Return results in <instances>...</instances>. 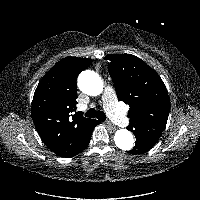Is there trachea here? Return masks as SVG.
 <instances>
[{
    "label": "trachea",
    "mask_w": 200,
    "mask_h": 200,
    "mask_svg": "<svg viewBox=\"0 0 200 200\" xmlns=\"http://www.w3.org/2000/svg\"><path fill=\"white\" fill-rule=\"evenodd\" d=\"M85 116L89 117V118H97L100 121H105L106 120V115L104 114V112L100 111V110H95L94 108L89 109L85 113Z\"/></svg>",
    "instance_id": "3493384b"
}]
</instances>
